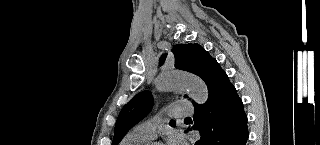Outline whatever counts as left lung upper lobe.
Returning a JSON list of instances; mask_svg holds the SVG:
<instances>
[{
  "instance_id": "obj_1",
  "label": "left lung upper lobe",
  "mask_w": 320,
  "mask_h": 145,
  "mask_svg": "<svg viewBox=\"0 0 320 145\" xmlns=\"http://www.w3.org/2000/svg\"><path fill=\"white\" fill-rule=\"evenodd\" d=\"M172 52L175 56V68L201 76L205 67L214 59L197 43L176 44ZM167 54L160 58L164 63ZM153 97L149 91H144L134 96L121 110L116 122L112 145H117L122 137L142 120L150 111ZM175 125L174 121L169 123Z\"/></svg>"
}]
</instances>
